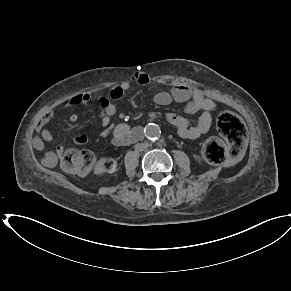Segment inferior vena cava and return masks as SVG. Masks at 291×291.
I'll use <instances>...</instances> for the list:
<instances>
[{"label": "inferior vena cava", "mask_w": 291, "mask_h": 291, "mask_svg": "<svg viewBox=\"0 0 291 291\" xmlns=\"http://www.w3.org/2000/svg\"><path fill=\"white\" fill-rule=\"evenodd\" d=\"M148 148V144L147 143H138L135 145V149L137 151H144Z\"/></svg>", "instance_id": "602c4592"}]
</instances>
